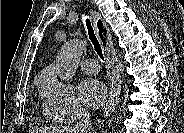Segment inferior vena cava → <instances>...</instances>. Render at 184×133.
<instances>
[{"instance_id": "obj_1", "label": "inferior vena cava", "mask_w": 184, "mask_h": 133, "mask_svg": "<svg viewBox=\"0 0 184 133\" xmlns=\"http://www.w3.org/2000/svg\"><path fill=\"white\" fill-rule=\"evenodd\" d=\"M77 122L73 129L74 133H88L91 129L90 114L81 106L76 108Z\"/></svg>"}]
</instances>
